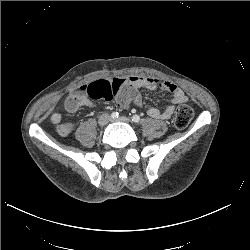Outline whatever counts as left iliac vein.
I'll return each instance as SVG.
<instances>
[{"instance_id": "obj_1", "label": "left iliac vein", "mask_w": 250, "mask_h": 250, "mask_svg": "<svg viewBox=\"0 0 250 250\" xmlns=\"http://www.w3.org/2000/svg\"><path fill=\"white\" fill-rule=\"evenodd\" d=\"M112 122L130 123V120L124 116L112 119Z\"/></svg>"}]
</instances>
